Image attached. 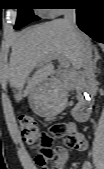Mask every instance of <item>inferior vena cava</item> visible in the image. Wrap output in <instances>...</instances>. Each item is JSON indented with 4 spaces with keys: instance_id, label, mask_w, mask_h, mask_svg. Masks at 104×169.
<instances>
[{
    "instance_id": "inferior-vena-cava-1",
    "label": "inferior vena cava",
    "mask_w": 104,
    "mask_h": 169,
    "mask_svg": "<svg viewBox=\"0 0 104 169\" xmlns=\"http://www.w3.org/2000/svg\"><path fill=\"white\" fill-rule=\"evenodd\" d=\"M64 21L73 36L78 37L79 31L76 25V11L75 9H65ZM82 74L86 77L87 82L93 92L96 91L97 82L95 76L94 65L92 61V48L90 45L82 44Z\"/></svg>"
}]
</instances>
